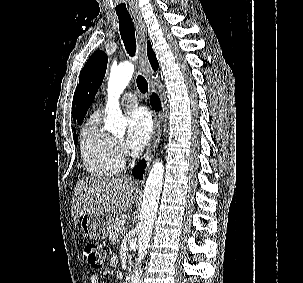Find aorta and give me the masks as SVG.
Listing matches in <instances>:
<instances>
[{
	"label": "aorta",
	"mask_w": 303,
	"mask_h": 283,
	"mask_svg": "<svg viewBox=\"0 0 303 283\" xmlns=\"http://www.w3.org/2000/svg\"><path fill=\"white\" fill-rule=\"evenodd\" d=\"M134 73V65L124 62L113 67L108 81V100L105 111V129L112 134L122 135L125 133L126 120L124 119L120 106L119 97L124 91ZM164 165L162 161H156L146 180L143 203L140 212L138 231V258L135 267L129 277V283H142L141 264L146 256L150 245L153 224L156 219L158 203L162 190Z\"/></svg>",
	"instance_id": "1"
}]
</instances>
